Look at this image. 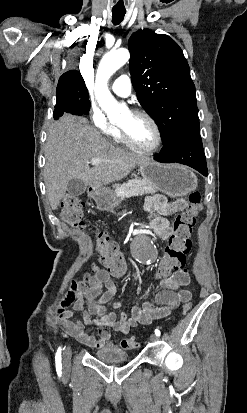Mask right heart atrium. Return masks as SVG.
<instances>
[{"mask_svg":"<svg viewBox=\"0 0 247 413\" xmlns=\"http://www.w3.org/2000/svg\"><path fill=\"white\" fill-rule=\"evenodd\" d=\"M90 118L93 119L99 133L112 135L116 131L119 132V128L117 129L115 126L106 121V117L103 115L102 107L100 105H93L91 107Z\"/></svg>","mask_w":247,"mask_h":413,"instance_id":"right-heart-atrium-1","label":"right heart atrium"}]
</instances>
